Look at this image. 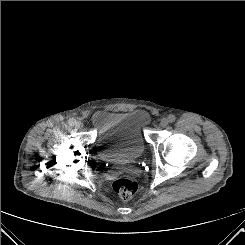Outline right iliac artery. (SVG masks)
<instances>
[{"label": "right iliac artery", "instance_id": "obj_1", "mask_svg": "<svg viewBox=\"0 0 245 245\" xmlns=\"http://www.w3.org/2000/svg\"><path fill=\"white\" fill-rule=\"evenodd\" d=\"M68 124H69L70 126H74V125H76V120H75L74 118H70V119L68 120Z\"/></svg>", "mask_w": 245, "mask_h": 245}]
</instances>
